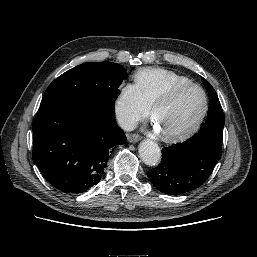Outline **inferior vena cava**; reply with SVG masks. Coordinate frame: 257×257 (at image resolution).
<instances>
[{"mask_svg":"<svg viewBox=\"0 0 257 257\" xmlns=\"http://www.w3.org/2000/svg\"><path fill=\"white\" fill-rule=\"evenodd\" d=\"M117 120L120 127L125 131H132L137 126V119L133 115L118 113Z\"/></svg>","mask_w":257,"mask_h":257,"instance_id":"602c4592","label":"inferior vena cava"}]
</instances>
